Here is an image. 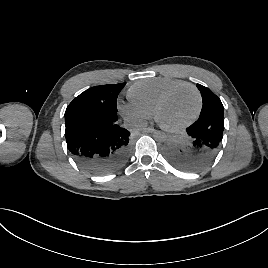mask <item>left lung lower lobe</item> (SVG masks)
Here are the masks:
<instances>
[{"label": "left lung lower lobe", "instance_id": "1", "mask_svg": "<svg viewBox=\"0 0 268 268\" xmlns=\"http://www.w3.org/2000/svg\"><path fill=\"white\" fill-rule=\"evenodd\" d=\"M224 117L198 119L186 133L166 148L169 160L183 170H200L218 154L223 138Z\"/></svg>", "mask_w": 268, "mask_h": 268}]
</instances>
